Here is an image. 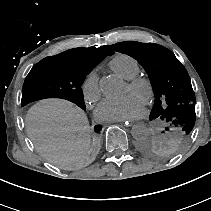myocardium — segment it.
<instances>
[{
	"label": "myocardium",
	"mask_w": 211,
	"mask_h": 211,
	"mask_svg": "<svg viewBox=\"0 0 211 211\" xmlns=\"http://www.w3.org/2000/svg\"><path fill=\"white\" fill-rule=\"evenodd\" d=\"M128 86L133 92H141L145 96L144 103L151 106L155 100V90L150 79L143 76H135L128 80Z\"/></svg>",
	"instance_id": "myocardium-1"
}]
</instances>
